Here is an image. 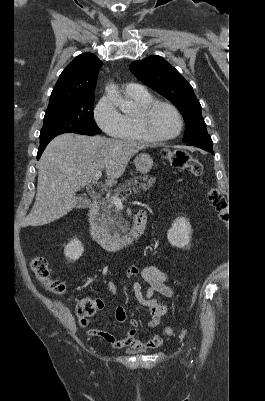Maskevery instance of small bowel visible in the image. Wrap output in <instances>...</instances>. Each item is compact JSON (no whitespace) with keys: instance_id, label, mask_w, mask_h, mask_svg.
<instances>
[{"instance_id":"small-bowel-1","label":"small bowel","mask_w":265,"mask_h":401,"mask_svg":"<svg viewBox=\"0 0 265 401\" xmlns=\"http://www.w3.org/2000/svg\"><path fill=\"white\" fill-rule=\"evenodd\" d=\"M127 276L140 277L147 284V288L143 291L141 283L135 281L132 285V290L136 300L149 311L150 319L148 326L152 328L157 327L162 318L166 316L168 308L166 304L155 298V294L159 293L166 297L174 296V289L169 284L170 277L156 266H147L143 269L130 267L127 270ZM107 288L113 296L117 295L118 288L114 282L108 281ZM102 307L103 304L101 302ZM113 315L119 324H123L126 321V309L123 306L115 307ZM88 322V320H82L81 324L86 325ZM138 331V322L131 319L129 321V329L124 338L118 339L113 334L100 329L89 330L88 334L103 339L116 349L144 350L157 348L162 344V335H155L147 341H142L136 338Z\"/></svg>"}]
</instances>
